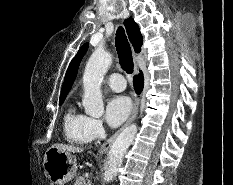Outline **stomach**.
<instances>
[{"mask_svg": "<svg viewBox=\"0 0 233 185\" xmlns=\"http://www.w3.org/2000/svg\"><path fill=\"white\" fill-rule=\"evenodd\" d=\"M43 167L51 185H64L76 176L75 156L53 146L45 152Z\"/></svg>", "mask_w": 233, "mask_h": 185, "instance_id": "stomach-1", "label": "stomach"}]
</instances>
